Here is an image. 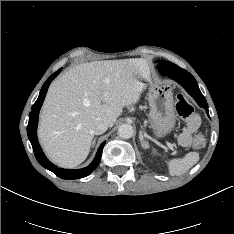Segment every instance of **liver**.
Returning a JSON list of instances; mask_svg holds the SVG:
<instances>
[{"label": "liver", "mask_w": 234, "mask_h": 234, "mask_svg": "<svg viewBox=\"0 0 234 234\" xmlns=\"http://www.w3.org/2000/svg\"><path fill=\"white\" fill-rule=\"evenodd\" d=\"M149 79L143 59L94 61L77 65L49 87L38 128L47 156L57 165L74 168L89 154L92 123L112 127L125 106L137 103Z\"/></svg>", "instance_id": "obj_1"}]
</instances>
